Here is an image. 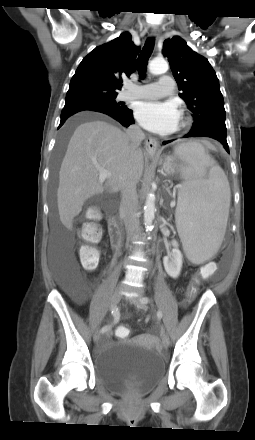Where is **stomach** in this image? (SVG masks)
<instances>
[{
    "label": "stomach",
    "instance_id": "0dacf381",
    "mask_svg": "<svg viewBox=\"0 0 255 440\" xmlns=\"http://www.w3.org/2000/svg\"><path fill=\"white\" fill-rule=\"evenodd\" d=\"M152 159L161 164L164 171L169 175H173L181 169V163L176 155L165 158L152 157Z\"/></svg>",
    "mask_w": 255,
    "mask_h": 440
}]
</instances>
